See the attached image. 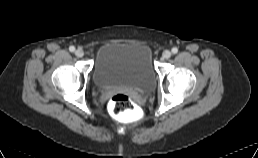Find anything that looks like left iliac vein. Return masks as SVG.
Returning <instances> with one entry per match:
<instances>
[{
	"instance_id": "4c4485c4",
	"label": "left iliac vein",
	"mask_w": 258,
	"mask_h": 158,
	"mask_svg": "<svg viewBox=\"0 0 258 158\" xmlns=\"http://www.w3.org/2000/svg\"><path fill=\"white\" fill-rule=\"evenodd\" d=\"M162 57L164 59H169L171 57V52L169 50H165L163 53H162Z\"/></svg>"
}]
</instances>
